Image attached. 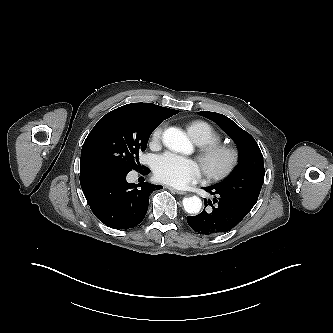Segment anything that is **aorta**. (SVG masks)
Returning <instances> with one entry per match:
<instances>
[{
  "instance_id": "762f6f07",
  "label": "aorta",
  "mask_w": 333,
  "mask_h": 333,
  "mask_svg": "<svg viewBox=\"0 0 333 333\" xmlns=\"http://www.w3.org/2000/svg\"><path fill=\"white\" fill-rule=\"evenodd\" d=\"M163 144L172 151L189 153L192 145L186 134L176 127H169L163 132ZM184 210L189 214H197L201 210L202 201L197 196L183 199Z\"/></svg>"
}]
</instances>
